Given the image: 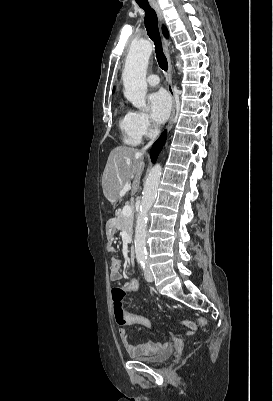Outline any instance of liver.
I'll use <instances>...</instances> for the list:
<instances>
[{"label":"liver","instance_id":"1","mask_svg":"<svg viewBox=\"0 0 273 401\" xmlns=\"http://www.w3.org/2000/svg\"><path fill=\"white\" fill-rule=\"evenodd\" d=\"M144 168L143 154L138 148L131 146H116L111 150L102 176L104 196L110 203L122 198L120 190L125 184H131L132 194L137 192L140 174Z\"/></svg>","mask_w":273,"mask_h":401}]
</instances>
